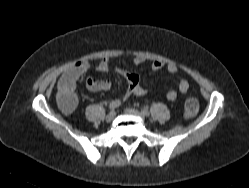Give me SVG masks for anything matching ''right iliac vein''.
<instances>
[{"mask_svg":"<svg viewBox=\"0 0 249 188\" xmlns=\"http://www.w3.org/2000/svg\"><path fill=\"white\" fill-rule=\"evenodd\" d=\"M116 116L115 111H111L110 113H108V115L106 116V122H111L114 120Z\"/></svg>","mask_w":249,"mask_h":188,"instance_id":"obj_1","label":"right iliac vein"}]
</instances>
